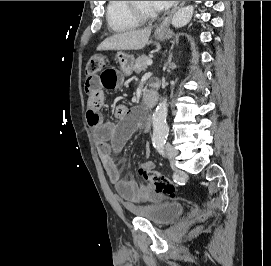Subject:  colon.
<instances>
[{
	"mask_svg": "<svg viewBox=\"0 0 271 266\" xmlns=\"http://www.w3.org/2000/svg\"><path fill=\"white\" fill-rule=\"evenodd\" d=\"M105 64V60L101 55H93L87 63L85 72L88 76L95 75L104 68ZM139 173L153 186L157 193L167 195L169 197L176 196V188L166 176L145 167L140 168Z\"/></svg>",
	"mask_w": 271,
	"mask_h": 266,
	"instance_id": "1",
	"label": "colon"
}]
</instances>
